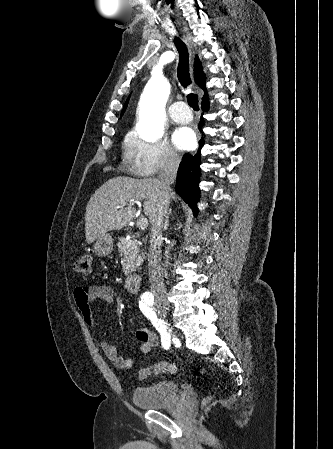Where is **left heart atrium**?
<instances>
[{
    "label": "left heart atrium",
    "mask_w": 333,
    "mask_h": 449,
    "mask_svg": "<svg viewBox=\"0 0 333 449\" xmlns=\"http://www.w3.org/2000/svg\"><path fill=\"white\" fill-rule=\"evenodd\" d=\"M172 139L175 146L181 150L189 149L195 144V134L187 127L177 129Z\"/></svg>",
    "instance_id": "left-heart-atrium-1"
}]
</instances>
